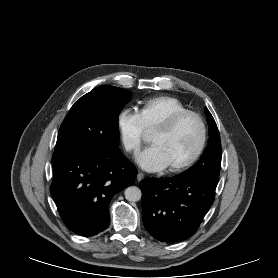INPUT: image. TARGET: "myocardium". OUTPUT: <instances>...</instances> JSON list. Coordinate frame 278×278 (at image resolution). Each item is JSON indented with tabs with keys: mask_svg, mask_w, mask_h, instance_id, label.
<instances>
[{
	"mask_svg": "<svg viewBox=\"0 0 278 278\" xmlns=\"http://www.w3.org/2000/svg\"><path fill=\"white\" fill-rule=\"evenodd\" d=\"M186 118H193L197 121L199 128H200V140H199L196 150L193 152L192 155H190L187 159H185L179 163L168 166V170L170 172H179V171H182V170L190 167L203 154L204 149L206 147L207 138H208V131H207L206 123L200 114L188 110V111L180 112V113L173 115L172 117H170L163 123L159 124L153 130V131H160V132H165V133L171 132Z\"/></svg>",
	"mask_w": 278,
	"mask_h": 278,
	"instance_id": "1",
	"label": "myocardium"
}]
</instances>
